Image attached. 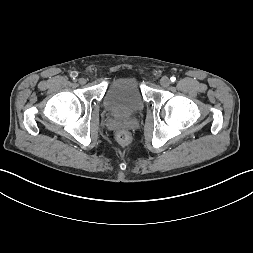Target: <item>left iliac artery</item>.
<instances>
[{
	"mask_svg": "<svg viewBox=\"0 0 253 253\" xmlns=\"http://www.w3.org/2000/svg\"><path fill=\"white\" fill-rule=\"evenodd\" d=\"M170 80H171V82H175L176 78H175L174 76H172V77L170 78Z\"/></svg>",
	"mask_w": 253,
	"mask_h": 253,
	"instance_id": "1",
	"label": "left iliac artery"
}]
</instances>
